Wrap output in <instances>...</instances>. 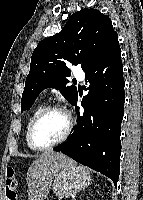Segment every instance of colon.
Listing matches in <instances>:
<instances>
[{"label":"colon","mask_w":143,"mask_h":200,"mask_svg":"<svg viewBox=\"0 0 143 200\" xmlns=\"http://www.w3.org/2000/svg\"><path fill=\"white\" fill-rule=\"evenodd\" d=\"M17 181L15 178V172L12 167L7 170V177L5 181V199L6 200H17Z\"/></svg>","instance_id":"5ec220e1"}]
</instances>
